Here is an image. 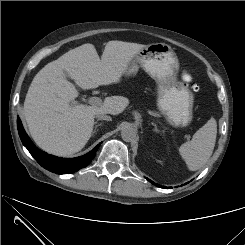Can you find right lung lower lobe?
Listing matches in <instances>:
<instances>
[{
	"label": "right lung lower lobe",
	"instance_id": "1",
	"mask_svg": "<svg viewBox=\"0 0 245 245\" xmlns=\"http://www.w3.org/2000/svg\"><path fill=\"white\" fill-rule=\"evenodd\" d=\"M17 127L21 141L23 145L28 149L30 154L42 167L56 174H68L86 167L92 161L97 149L100 146V144H98L91 152L81 157L72 159L58 158L39 150L33 144V142L26 134L19 117L17 119Z\"/></svg>",
	"mask_w": 245,
	"mask_h": 245
}]
</instances>
